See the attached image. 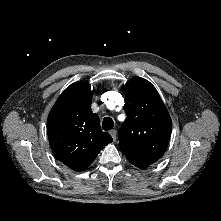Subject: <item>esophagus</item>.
Instances as JSON below:
<instances>
[{
    "mask_svg": "<svg viewBox=\"0 0 221 221\" xmlns=\"http://www.w3.org/2000/svg\"><path fill=\"white\" fill-rule=\"evenodd\" d=\"M109 133L112 136L113 140L115 141L116 140L117 131L115 129H113Z\"/></svg>",
    "mask_w": 221,
    "mask_h": 221,
    "instance_id": "34e87169",
    "label": "esophagus"
}]
</instances>
